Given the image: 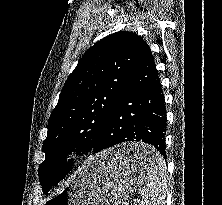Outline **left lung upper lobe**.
Listing matches in <instances>:
<instances>
[{
	"label": "left lung upper lobe",
	"mask_w": 222,
	"mask_h": 205,
	"mask_svg": "<svg viewBox=\"0 0 222 205\" xmlns=\"http://www.w3.org/2000/svg\"><path fill=\"white\" fill-rule=\"evenodd\" d=\"M146 46L132 32L111 34L87 50L69 75L43 143L39 180L45 194L68 173L56 168L63 154L74 147L78 154L93 149Z\"/></svg>",
	"instance_id": "5c2ea615"
}]
</instances>
